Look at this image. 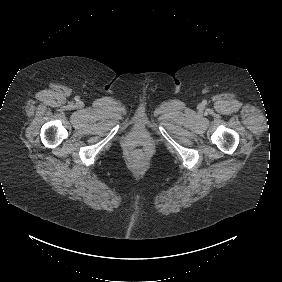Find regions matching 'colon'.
<instances>
[{
    "mask_svg": "<svg viewBox=\"0 0 282 282\" xmlns=\"http://www.w3.org/2000/svg\"><path fill=\"white\" fill-rule=\"evenodd\" d=\"M130 161L136 167H143L149 161V154L143 148H136L130 154Z\"/></svg>",
    "mask_w": 282,
    "mask_h": 282,
    "instance_id": "obj_1",
    "label": "colon"
}]
</instances>
